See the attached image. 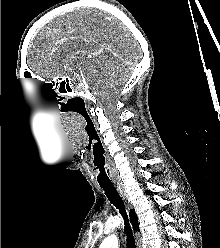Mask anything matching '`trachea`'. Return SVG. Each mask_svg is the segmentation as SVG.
<instances>
[{
  "label": "trachea",
  "mask_w": 220,
  "mask_h": 248,
  "mask_svg": "<svg viewBox=\"0 0 220 248\" xmlns=\"http://www.w3.org/2000/svg\"><path fill=\"white\" fill-rule=\"evenodd\" d=\"M101 188L105 191L107 198L109 201L119 210V213L122 215L125 224V232H126V246L127 248H136L135 239L133 236L132 229L129 224L128 216L125 210V205L116 191L114 185L112 183L101 184Z\"/></svg>",
  "instance_id": "3493384b"
}]
</instances>
